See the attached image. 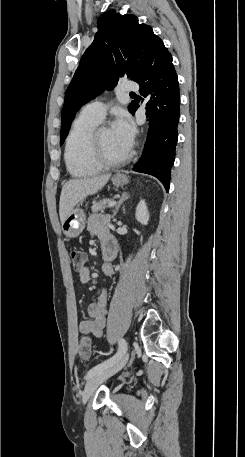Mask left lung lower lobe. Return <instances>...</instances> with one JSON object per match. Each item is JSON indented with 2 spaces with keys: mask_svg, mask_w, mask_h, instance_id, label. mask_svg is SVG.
Here are the masks:
<instances>
[{
  "mask_svg": "<svg viewBox=\"0 0 245 457\" xmlns=\"http://www.w3.org/2000/svg\"><path fill=\"white\" fill-rule=\"evenodd\" d=\"M136 82L140 85L139 92L148 97L146 110L150 124L142 157L133 170L155 176L168 192L178 141L180 94L172 56L164 44L150 54ZM138 107L133 102L130 113L134 114Z\"/></svg>",
  "mask_w": 245,
  "mask_h": 457,
  "instance_id": "0a47b994",
  "label": "left lung lower lobe"
}]
</instances>
